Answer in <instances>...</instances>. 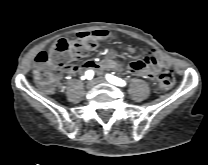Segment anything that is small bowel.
<instances>
[{"label": "small bowel", "mask_w": 208, "mask_h": 165, "mask_svg": "<svg viewBox=\"0 0 208 165\" xmlns=\"http://www.w3.org/2000/svg\"><path fill=\"white\" fill-rule=\"evenodd\" d=\"M99 39H107L112 37V33L106 29H98L92 32ZM169 65V62L164 57L159 56V54L152 50L147 53V56L141 60H135L127 65V71L131 74L153 79L156 73ZM101 69H122L121 63L115 59L113 52L108 51L105 57L98 64L94 60H88L82 65L78 63L66 62L62 66V71L64 74L73 76L81 72V70H101Z\"/></svg>", "instance_id": "1"}]
</instances>
